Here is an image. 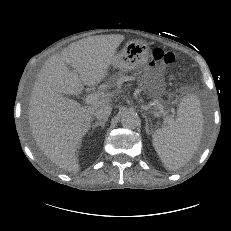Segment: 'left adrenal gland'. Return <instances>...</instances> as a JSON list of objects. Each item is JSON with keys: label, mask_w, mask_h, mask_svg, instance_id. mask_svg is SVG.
<instances>
[{"label": "left adrenal gland", "mask_w": 231, "mask_h": 231, "mask_svg": "<svg viewBox=\"0 0 231 231\" xmlns=\"http://www.w3.org/2000/svg\"><path fill=\"white\" fill-rule=\"evenodd\" d=\"M143 117L145 118V121H146V127H145L146 132H147V134H150L151 131H150V129H149V121H148V118H147L146 115H143Z\"/></svg>", "instance_id": "a2214340"}]
</instances>
